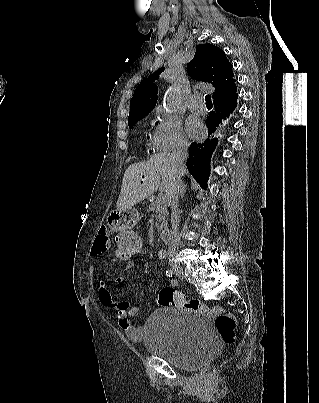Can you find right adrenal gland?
Instances as JSON below:
<instances>
[{
	"instance_id": "1",
	"label": "right adrenal gland",
	"mask_w": 319,
	"mask_h": 403,
	"mask_svg": "<svg viewBox=\"0 0 319 403\" xmlns=\"http://www.w3.org/2000/svg\"><path fill=\"white\" fill-rule=\"evenodd\" d=\"M185 189H186V186H185L184 183H182V184H181V187H180V196H181V197L184 196V194H185V192H186Z\"/></svg>"
}]
</instances>
